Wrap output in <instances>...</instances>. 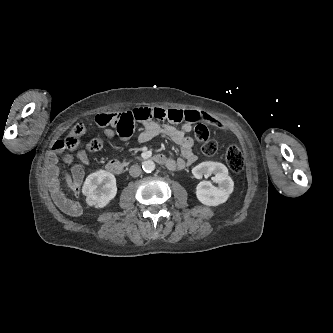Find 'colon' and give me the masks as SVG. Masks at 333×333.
<instances>
[{
	"label": "colon",
	"mask_w": 333,
	"mask_h": 333,
	"mask_svg": "<svg viewBox=\"0 0 333 333\" xmlns=\"http://www.w3.org/2000/svg\"><path fill=\"white\" fill-rule=\"evenodd\" d=\"M96 123L99 126L114 127L118 134H122L130 129V122L126 113H102L96 117ZM86 128L84 124L77 123L70 130L69 134L61 140H57L52 147V152L58 156L65 151H76L80 146V138L85 134ZM196 139L201 144V151L206 156L216 154L218 150L217 142L210 137L208 128L202 124L197 123L194 130ZM104 141L102 138H95L91 140L85 147L88 152H96L103 147ZM80 151L79 154H83ZM225 160L229 169L234 173H239L244 167V158L241 149L236 145H230L225 154Z\"/></svg>",
	"instance_id": "1"
}]
</instances>
